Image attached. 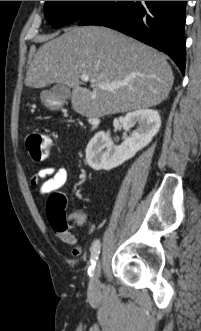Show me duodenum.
I'll return each instance as SVG.
<instances>
[{
    "label": "duodenum",
    "mask_w": 201,
    "mask_h": 331,
    "mask_svg": "<svg viewBox=\"0 0 201 331\" xmlns=\"http://www.w3.org/2000/svg\"><path fill=\"white\" fill-rule=\"evenodd\" d=\"M89 122L93 128L97 127L100 124V119L97 117H92L89 119Z\"/></svg>",
    "instance_id": "obj_1"
}]
</instances>
